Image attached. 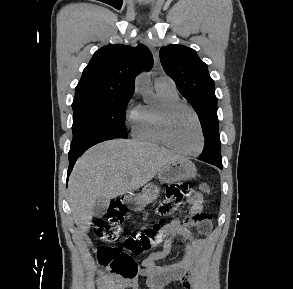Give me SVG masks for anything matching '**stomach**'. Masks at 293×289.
<instances>
[{"instance_id":"obj_1","label":"stomach","mask_w":293,"mask_h":289,"mask_svg":"<svg viewBox=\"0 0 293 289\" xmlns=\"http://www.w3.org/2000/svg\"><path fill=\"white\" fill-rule=\"evenodd\" d=\"M197 175L195 165L188 159H178L167 163L159 172L158 178L163 183H174L178 181L190 180ZM160 189L152 184H147L142 193L129 198L128 201L135 211L142 210L146 204L153 202L159 196Z\"/></svg>"}]
</instances>
